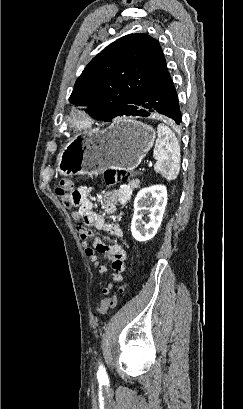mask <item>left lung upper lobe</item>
Wrapping results in <instances>:
<instances>
[{
	"instance_id": "left-lung-upper-lobe-1",
	"label": "left lung upper lobe",
	"mask_w": 243,
	"mask_h": 409,
	"mask_svg": "<svg viewBox=\"0 0 243 409\" xmlns=\"http://www.w3.org/2000/svg\"><path fill=\"white\" fill-rule=\"evenodd\" d=\"M167 74L158 41L143 33L129 34L90 61L77 79L69 101L89 106L96 111L93 116L101 120L133 105Z\"/></svg>"
}]
</instances>
